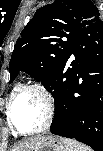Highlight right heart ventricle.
Listing matches in <instances>:
<instances>
[{
    "label": "right heart ventricle",
    "instance_id": "e07e8e85",
    "mask_svg": "<svg viewBox=\"0 0 103 151\" xmlns=\"http://www.w3.org/2000/svg\"><path fill=\"white\" fill-rule=\"evenodd\" d=\"M17 89H18V88H17ZM17 89H14V90L11 92L9 99L11 98V96L13 95V93H14ZM14 134H15V133H14Z\"/></svg>",
    "mask_w": 103,
    "mask_h": 151
}]
</instances>
